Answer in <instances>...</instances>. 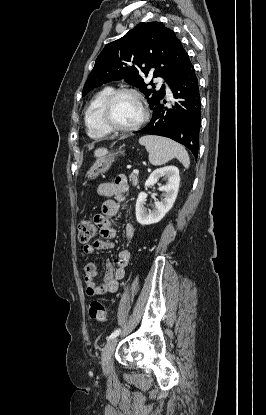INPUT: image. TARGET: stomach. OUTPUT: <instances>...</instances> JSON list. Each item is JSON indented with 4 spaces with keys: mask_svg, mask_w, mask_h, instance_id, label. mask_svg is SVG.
I'll return each instance as SVG.
<instances>
[{
    "mask_svg": "<svg viewBox=\"0 0 266 415\" xmlns=\"http://www.w3.org/2000/svg\"><path fill=\"white\" fill-rule=\"evenodd\" d=\"M118 153L123 154L122 151L116 153H108V151H106L104 154L99 155L92 167L86 172V181L96 178L99 174L105 173L114 162L115 156L118 155Z\"/></svg>",
    "mask_w": 266,
    "mask_h": 415,
    "instance_id": "obj_1",
    "label": "stomach"
}]
</instances>
